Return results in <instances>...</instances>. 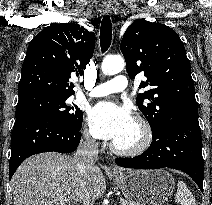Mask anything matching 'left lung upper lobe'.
I'll return each instance as SVG.
<instances>
[{"label":"left lung upper lobe","instance_id":"obj_1","mask_svg":"<svg viewBox=\"0 0 212 205\" xmlns=\"http://www.w3.org/2000/svg\"><path fill=\"white\" fill-rule=\"evenodd\" d=\"M131 79L147 78L136 103L148 120L152 135L160 134L178 112L197 109L190 62L178 34L170 27L140 19L132 23L121 41Z\"/></svg>","mask_w":212,"mask_h":205}]
</instances>
